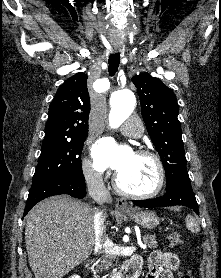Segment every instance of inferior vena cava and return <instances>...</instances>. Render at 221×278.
<instances>
[{
    "label": "inferior vena cava",
    "instance_id": "602c4592",
    "mask_svg": "<svg viewBox=\"0 0 221 278\" xmlns=\"http://www.w3.org/2000/svg\"><path fill=\"white\" fill-rule=\"evenodd\" d=\"M86 184L88 193L92 199H94L99 205L110 202L112 200L109 191L106 189L102 176L100 173L90 170L86 173ZM105 216L102 210H96L94 215V231H95V246L105 247V254L102 255V263L107 266L110 265L114 259L112 253H110L105 244Z\"/></svg>",
    "mask_w": 221,
    "mask_h": 278
}]
</instances>
